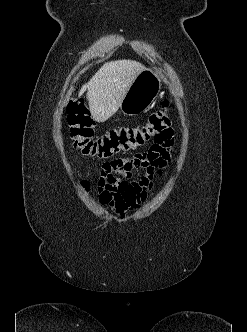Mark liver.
<instances>
[{
    "mask_svg": "<svg viewBox=\"0 0 247 332\" xmlns=\"http://www.w3.org/2000/svg\"><path fill=\"white\" fill-rule=\"evenodd\" d=\"M144 69L133 60L110 61L83 85L79 96L88 89L89 110L95 121L105 122L117 112L130 85Z\"/></svg>",
    "mask_w": 247,
    "mask_h": 332,
    "instance_id": "liver-1",
    "label": "liver"
}]
</instances>
